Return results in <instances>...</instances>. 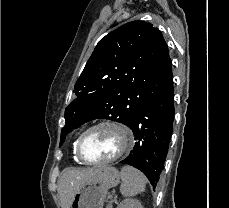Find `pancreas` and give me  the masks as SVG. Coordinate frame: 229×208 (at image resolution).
Wrapping results in <instances>:
<instances>
[{"mask_svg": "<svg viewBox=\"0 0 229 208\" xmlns=\"http://www.w3.org/2000/svg\"><path fill=\"white\" fill-rule=\"evenodd\" d=\"M107 208H112L111 204H108Z\"/></svg>", "mask_w": 229, "mask_h": 208, "instance_id": "cf45deb5", "label": "pancreas"}]
</instances>
